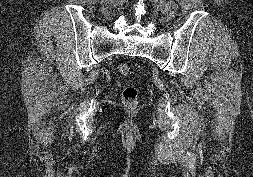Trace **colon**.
<instances>
[{"instance_id":"colon-1","label":"colon","mask_w":253,"mask_h":177,"mask_svg":"<svg viewBox=\"0 0 253 177\" xmlns=\"http://www.w3.org/2000/svg\"><path fill=\"white\" fill-rule=\"evenodd\" d=\"M118 71L123 76L130 75V68L127 64H119ZM139 98V90L135 86H127L122 91V100L123 103L129 108H134L137 105Z\"/></svg>"}]
</instances>
